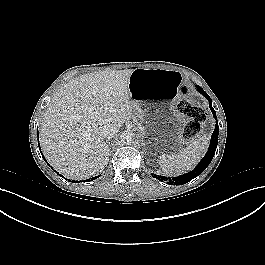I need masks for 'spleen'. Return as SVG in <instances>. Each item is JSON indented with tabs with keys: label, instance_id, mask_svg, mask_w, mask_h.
<instances>
[{
	"label": "spleen",
	"instance_id": "1",
	"mask_svg": "<svg viewBox=\"0 0 265 265\" xmlns=\"http://www.w3.org/2000/svg\"><path fill=\"white\" fill-rule=\"evenodd\" d=\"M209 143L208 137L195 139L186 148L171 155L159 157V165L168 174H181L192 169L204 155Z\"/></svg>",
	"mask_w": 265,
	"mask_h": 265
}]
</instances>
